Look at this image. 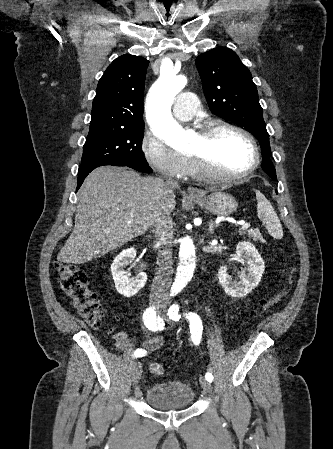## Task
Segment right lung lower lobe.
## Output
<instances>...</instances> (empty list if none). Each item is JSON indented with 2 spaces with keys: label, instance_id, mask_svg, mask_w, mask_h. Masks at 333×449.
<instances>
[{
  "label": "right lung lower lobe",
  "instance_id": "1",
  "mask_svg": "<svg viewBox=\"0 0 333 449\" xmlns=\"http://www.w3.org/2000/svg\"><path fill=\"white\" fill-rule=\"evenodd\" d=\"M106 164H85V165H80L79 170H78V185H77V189L81 186V184L83 183L84 179L86 178V176L95 168L99 167V166H103ZM110 165L113 166H128L130 168H133L137 171L140 172H145V173H150L152 172V169L149 166H134V165H127V164H123V163H111Z\"/></svg>",
  "mask_w": 333,
  "mask_h": 449
}]
</instances>
